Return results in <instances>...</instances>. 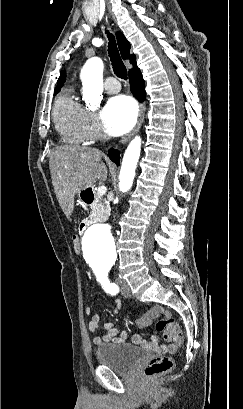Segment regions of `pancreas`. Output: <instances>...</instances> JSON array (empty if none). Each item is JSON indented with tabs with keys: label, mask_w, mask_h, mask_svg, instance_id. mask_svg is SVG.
Returning <instances> with one entry per match:
<instances>
[{
	"label": "pancreas",
	"mask_w": 243,
	"mask_h": 409,
	"mask_svg": "<svg viewBox=\"0 0 243 409\" xmlns=\"http://www.w3.org/2000/svg\"><path fill=\"white\" fill-rule=\"evenodd\" d=\"M96 202L91 206V212H90V218L92 220L98 221V222H104L109 214L110 210L106 203L102 202L101 196L96 193Z\"/></svg>",
	"instance_id": "pancreas-1"
}]
</instances>
